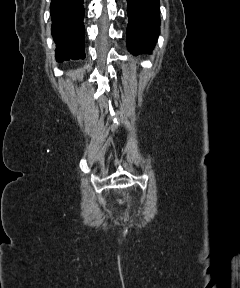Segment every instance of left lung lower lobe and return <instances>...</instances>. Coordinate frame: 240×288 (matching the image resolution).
<instances>
[{
	"mask_svg": "<svg viewBox=\"0 0 240 288\" xmlns=\"http://www.w3.org/2000/svg\"><path fill=\"white\" fill-rule=\"evenodd\" d=\"M127 46L134 55L154 48L159 34V0H127Z\"/></svg>",
	"mask_w": 240,
	"mask_h": 288,
	"instance_id": "1",
	"label": "left lung lower lobe"
}]
</instances>
